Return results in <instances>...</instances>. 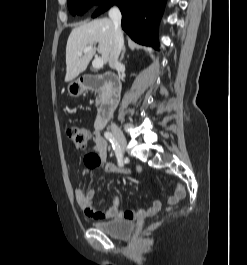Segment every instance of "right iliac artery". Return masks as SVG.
<instances>
[{"label":"right iliac artery","instance_id":"obj_1","mask_svg":"<svg viewBox=\"0 0 247 265\" xmlns=\"http://www.w3.org/2000/svg\"><path fill=\"white\" fill-rule=\"evenodd\" d=\"M104 136L111 143L113 150L115 151V154H116V157L118 160V165L120 167L123 166L122 151H121V148H120L118 142L116 141L115 137L109 131H106L104 133Z\"/></svg>","mask_w":247,"mask_h":265}]
</instances>
